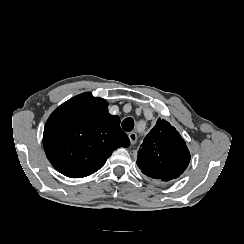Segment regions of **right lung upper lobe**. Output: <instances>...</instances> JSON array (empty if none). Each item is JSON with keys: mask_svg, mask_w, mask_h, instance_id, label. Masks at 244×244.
Masks as SVG:
<instances>
[{"mask_svg": "<svg viewBox=\"0 0 244 244\" xmlns=\"http://www.w3.org/2000/svg\"><path fill=\"white\" fill-rule=\"evenodd\" d=\"M107 107L104 99L82 93L50 115L43 145L57 171L71 178L89 176L104 165L114 150L130 145L119 117L111 115Z\"/></svg>", "mask_w": 244, "mask_h": 244, "instance_id": "1", "label": "right lung upper lobe"}]
</instances>
